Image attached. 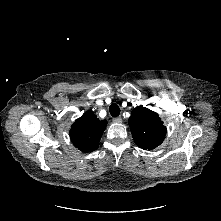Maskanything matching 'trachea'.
<instances>
[{"mask_svg": "<svg viewBox=\"0 0 221 221\" xmlns=\"http://www.w3.org/2000/svg\"><path fill=\"white\" fill-rule=\"evenodd\" d=\"M109 112L112 117H117L120 114V108L116 103H113L109 107Z\"/></svg>", "mask_w": 221, "mask_h": 221, "instance_id": "obj_1", "label": "trachea"}]
</instances>
